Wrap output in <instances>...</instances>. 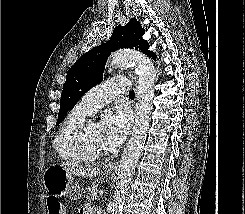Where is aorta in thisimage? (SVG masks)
Segmentation results:
<instances>
[{"instance_id": "aorta-1", "label": "aorta", "mask_w": 245, "mask_h": 214, "mask_svg": "<svg viewBox=\"0 0 245 214\" xmlns=\"http://www.w3.org/2000/svg\"><path fill=\"white\" fill-rule=\"evenodd\" d=\"M109 62L113 68L132 65L138 75L135 124L120 159L119 182L114 193L112 208V214H122L127 186L135 172L149 129L156 70L148 57L135 51L115 52L111 55Z\"/></svg>"}]
</instances>
